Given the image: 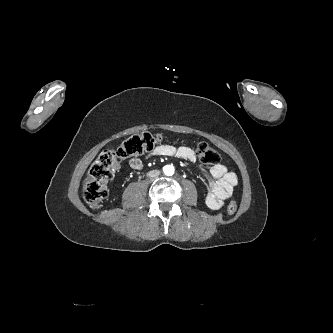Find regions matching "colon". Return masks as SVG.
I'll return each mask as SVG.
<instances>
[{"mask_svg": "<svg viewBox=\"0 0 333 333\" xmlns=\"http://www.w3.org/2000/svg\"><path fill=\"white\" fill-rule=\"evenodd\" d=\"M159 134L142 132L129 136L117 148L104 150L89 169L83 183L85 201L94 209L100 207L107 195V182L112 178L118 166L126 159L134 158L152 150L160 144ZM195 154L199 160L208 165L220 162L219 154L205 142H198ZM237 211V203L232 201L227 206L230 215Z\"/></svg>", "mask_w": 333, "mask_h": 333, "instance_id": "obj_1", "label": "colon"}]
</instances>
